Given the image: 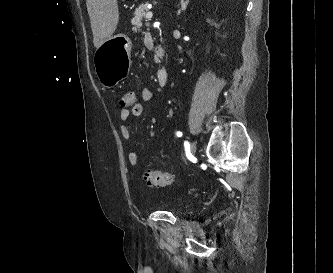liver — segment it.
<instances>
[{
  "label": "liver",
  "mask_w": 333,
  "mask_h": 273,
  "mask_svg": "<svg viewBox=\"0 0 333 273\" xmlns=\"http://www.w3.org/2000/svg\"><path fill=\"white\" fill-rule=\"evenodd\" d=\"M87 11L93 32V43L100 47L112 37L119 21L117 0H87Z\"/></svg>",
  "instance_id": "liver-1"
}]
</instances>
